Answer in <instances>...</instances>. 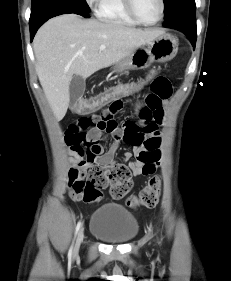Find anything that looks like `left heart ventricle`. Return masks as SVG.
<instances>
[{
  "mask_svg": "<svg viewBox=\"0 0 231 281\" xmlns=\"http://www.w3.org/2000/svg\"><path fill=\"white\" fill-rule=\"evenodd\" d=\"M138 15L145 21H155L161 11L160 0H134Z\"/></svg>",
  "mask_w": 231,
  "mask_h": 281,
  "instance_id": "1",
  "label": "left heart ventricle"
}]
</instances>
